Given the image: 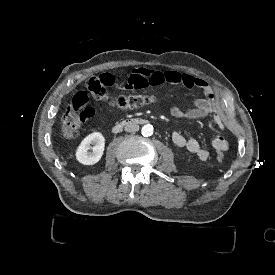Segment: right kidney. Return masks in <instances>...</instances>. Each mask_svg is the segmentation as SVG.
<instances>
[{"mask_svg":"<svg viewBox=\"0 0 275 275\" xmlns=\"http://www.w3.org/2000/svg\"><path fill=\"white\" fill-rule=\"evenodd\" d=\"M95 144V146L92 148L93 152L88 153L89 145ZM105 149V138L100 132H94L89 135H87L81 143L78 145L75 157L76 160L85 165H95L97 164L104 153Z\"/></svg>","mask_w":275,"mask_h":275,"instance_id":"1","label":"right kidney"}]
</instances>
